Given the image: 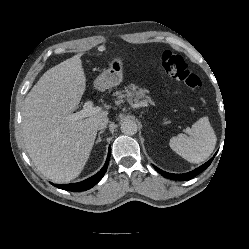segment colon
Listing matches in <instances>:
<instances>
[{
	"mask_svg": "<svg viewBox=\"0 0 249 249\" xmlns=\"http://www.w3.org/2000/svg\"><path fill=\"white\" fill-rule=\"evenodd\" d=\"M161 65L168 76L183 82L190 88H199L202 85L200 77L188 68L180 55L164 52L161 56Z\"/></svg>",
	"mask_w": 249,
	"mask_h": 249,
	"instance_id": "obj_1",
	"label": "colon"
}]
</instances>
